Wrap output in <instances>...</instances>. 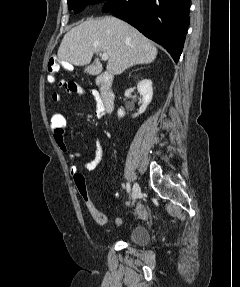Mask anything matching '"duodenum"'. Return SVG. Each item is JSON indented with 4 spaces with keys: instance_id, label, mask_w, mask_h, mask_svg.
<instances>
[{
    "instance_id": "1",
    "label": "duodenum",
    "mask_w": 240,
    "mask_h": 287,
    "mask_svg": "<svg viewBox=\"0 0 240 287\" xmlns=\"http://www.w3.org/2000/svg\"><path fill=\"white\" fill-rule=\"evenodd\" d=\"M97 85L99 87L101 101L106 112H111L115 105V95L112 92V75L104 72L97 78Z\"/></svg>"
}]
</instances>
